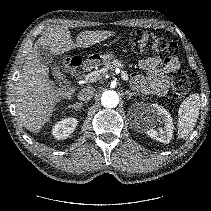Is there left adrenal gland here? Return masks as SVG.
Returning a JSON list of instances; mask_svg holds the SVG:
<instances>
[{"label": "left adrenal gland", "instance_id": "left-adrenal-gland-1", "mask_svg": "<svg viewBox=\"0 0 211 211\" xmlns=\"http://www.w3.org/2000/svg\"><path fill=\"white\" fill-rule=\"evenodd\" d=\"M125 94L127 95L128 99H131L135 95H139V93L137 92H130V91H126Z\"/></svg>", "mask_w": 211, "mask_h": 211}]
</instances>
